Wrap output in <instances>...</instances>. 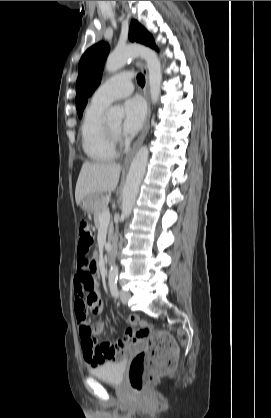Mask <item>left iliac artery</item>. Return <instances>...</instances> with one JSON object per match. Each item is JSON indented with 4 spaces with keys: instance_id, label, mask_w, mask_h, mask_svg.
I'll return each mask as SVG.
<instances>
[{
    "instance_id": "44dca946",
    "label": "left iliac artery",
    "mask_w": 271,
    "mask_h": 418,
    "mask_svg": "<svg viewBox=\"0 0 271 418\" xmlns=\"http://www.w3.org/2000/svg\"><path fill=\"white\" fill-rule=\"evenodd\" d=\"M109 288L110 293L114 298H117L119 295L118 287H117V280H110L109 281Z\"/></svg>"
}]
</instances>
